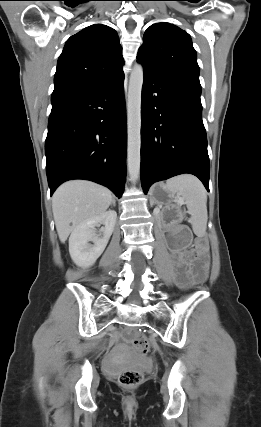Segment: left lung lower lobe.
<instances>
[{"mask_svg": "<svg viewBox=\"0 0 261 427\" xmlns=\"http://www.w3.org/2000/svg\"><path fill=\"white\" fill-rule=\"evenodd\" d=\"M200 82L144 68L141 100V184L189 173L209 191V156Z\"/></svg>", "mask_w": 261, "mask_h": 427, "instance_id": "obj_1", "label": "left lung lower lobe"}]
</instances>
